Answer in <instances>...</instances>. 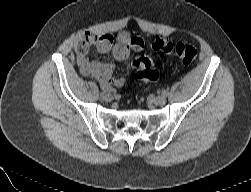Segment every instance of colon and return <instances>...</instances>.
<instances>
[{
  "instance_id": "5ec220e1",
  "label": "colon",
  "mask_w": 251,
  "mask_h": 192,
  "mask_svg": "<svg viewBox=\"0 0 251 192\" xmlns=\"http://www.w3.org/2000/svg\"><path fill=\"white\" fill-rule=\"evenodd\" d=\"M152 48L164 54L176 55L185 65L193 63L198 55L196 48L189 44L183 42L172 43L168 39L161 37L154 40ZM132 65L136 71L137 78L144 82H153L159 77V72L152 60L145 55L136 57Z\"/></svg>"
}]
</instances>
